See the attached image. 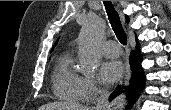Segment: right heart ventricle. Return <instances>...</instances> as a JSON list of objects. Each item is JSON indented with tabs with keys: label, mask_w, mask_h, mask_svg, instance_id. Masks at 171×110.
Segmentation results:
<instances>
[{
	"label": "right heart ventricle",
	"mask_w": 171,
	"mask_h": 110,
	"mask_svg": "<svg viewBox=\"0 0 171 110\" xmlns=\"http://www.w3.org/2000/svg\"><path fill=\"white\" fill-rule=\"evenodd\" d=\"M70 53H63L57 60L52 86L54 94L68 102H82L87 100L84 78L74 69Z\"/></svg>",
	"instance_id": "right-heart-ventricle-1"
}]
</instances>
